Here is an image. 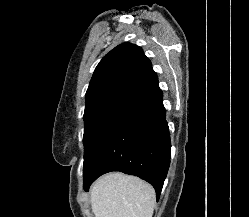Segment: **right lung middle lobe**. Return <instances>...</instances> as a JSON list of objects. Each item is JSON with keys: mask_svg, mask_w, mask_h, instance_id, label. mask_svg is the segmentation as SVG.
Masks as SVG:
<instances>
[{"mask_svg": "<svg viewBox=\"0 0 249 217\" xmlns=\"http://www.w3.org/2000/svg\"><path fill=\"white\" fill-rule=\"evenodd\" d=\"M122 92H108L86 101L84 112V152L87 149L91 136L110 106L122 95Z\"/></svg>", "mask_w": 249, "mask_h": 217, "instance_id": "obj_1", "label": "right lung middle lobe"}]
</instances>
